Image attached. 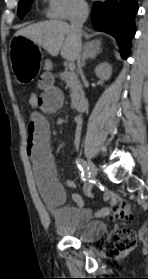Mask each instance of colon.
Listing matches in <instances>:
<instances>
[{
	"label": "colon",
	"instance_id": "1",
	"mask_svg": "<svg viewBox=\"0 0 148 279\" xmlns=\"http://www.w3.org/2000/svg\"><path fill=\"white\" fill-rule=\"evenodd\" d=\"M27 103L31 107H36L38 103V96L35 93H30L27 97ZM110 219H119L122 221H129L132 218L129 204L125 201H119L111 208L109 213ZM135 246L134 233L129 229L119 230L114 238V254L121 256Z\"/></svg>",
	"mask_w": 148,
	"mask_h": 279
}]
</instances>
